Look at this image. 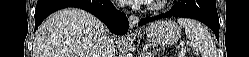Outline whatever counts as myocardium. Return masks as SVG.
<instances>
[{"label":"myocardium","mask_w":249,"mask_h":57,"mask_svg":"<svg viewBox=\"0 0 249 57\" xmlns=\"http://www.w3.org/2000/svg\"><path fill=\"white\" fill-rule=\"evenodd\" d=\"M166 2L167 0L154 1L153 3L149 4V8L150 9H161L165 5Z\"/></svg>","instance_id":"f54148a6"}]
</instances>
